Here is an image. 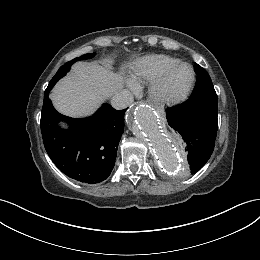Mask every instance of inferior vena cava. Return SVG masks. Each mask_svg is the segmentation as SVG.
Wrapping results in <instances>:
<instances>
[{
    "label": "inferior vena cava",
    "instance_id": "1",
    "mask_svg": "<svg viewBox=\"0 0 260 260\" xmlns=\"http://www.w3.org/2000/svg\"><path fill=\"white\" fill-rule=\"evenodd\" d=\"M133 100L134 98L131 92L127 90H119L115 92L111 98V105L113 108L121 110L127 108Z\"/></svg>",
    "mask_w": 260,
    "mask_h": 260
}]
</instances>
